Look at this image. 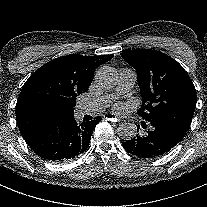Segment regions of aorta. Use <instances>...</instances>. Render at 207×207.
I'll return each instance as SVG.
<instances>
[{"instance_id": "1", "label": "aorta", "mask_w": 207, "mask_h": 207, "mask_svg": "<svg viewBox=\"0 0 207 207\" xmlns=\"http://www.w3.org/2000/svg\"><path fill=\"white\" fill-rule=\"evenodd\" d=\"M95 80L102 89L111 90L117 85L118 73L112 67L103 66L97 70ZM117 132L122 140H132L137 134L136 125L129 122L121 123Z\"/></svg>"}]
</instances>
